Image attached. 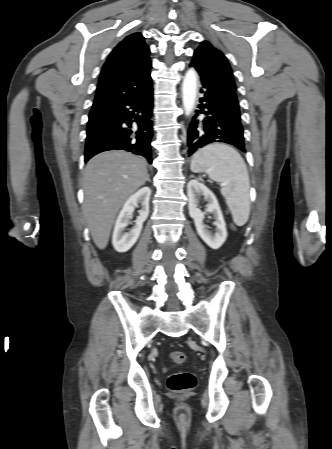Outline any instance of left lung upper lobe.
Here are the masks:
<instances>
[{"mask_svg": "<svg viewBox=\"0 0 332 449\" xmlns=\"http://www.w3.org/2000/svg\"><path fill=\"white\" fill-rule=\"evenodd\" d=\"M191 64L204 73L211 74L224 85L236 91L233 73L226 57L209 42L203 41L195 50Z\"/></svg>", "mask_w": 332, "mask_h": 449, "instance_id": "left-lung-upper-lobe-1", "label": "left lung upper lobe"}]
</instances>
